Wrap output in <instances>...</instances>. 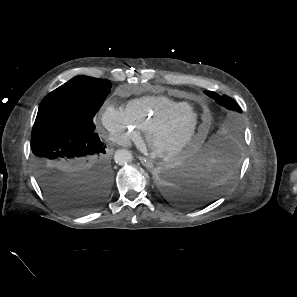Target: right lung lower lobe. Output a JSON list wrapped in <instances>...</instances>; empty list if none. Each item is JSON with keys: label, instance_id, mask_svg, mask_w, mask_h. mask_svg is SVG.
<instances>
[{"label": "right lung lower lobe", "instance_id": "1", "mask_svg": "<svg viewBox=\"0 0 297 297\" xmlns=\"http://www.w3.org/2000/svg\"><path fill=\"white\" fill-rule=\"evenodd\" d=\"M31 135L36 177L54 205L67 213L83 214L105 203L114 174L106 145L93 129L60 123Z\"/></svg>", "mask_w": 297, "mask_h": 297}]
</instances>
